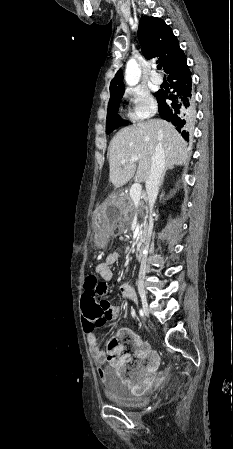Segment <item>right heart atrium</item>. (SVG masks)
<instances>
[{"label":"right heart atrium","instance_id":"d8ad5b80","mask_svg":"<svg viewBox=\"0 0 233 449\" xmlns=\"http://www.w3.org/2000/svg\"><path fill=\"white\" fill-rule=\"evenodd\" d=\"M125 96L131 102L129 117L137 122L152 117L157 110V105L151 94L140 87L128 88Z\"/></svg>","mask_w":233,"mask_h":449}]
</instances>
